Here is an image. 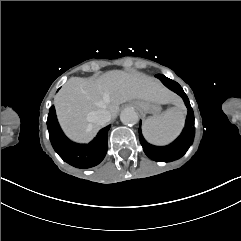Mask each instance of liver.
Masks as SVG:
<instances>
[{"label": "liver", "instance_id": "liver-1", "mask_svg": "<svg viewBox=\"0 0 241 241\" xmlns=\"http://www.w3.org/2000/svg\"><path fill=\"white\" fill-rule=\"evenodd\" d=\"M144 100L156 105L173 104L177 97L161 86L158 80L121 71H110L95 80L70 78L56 94L54 105L65 132L78 141H88L100 128L87 121V114L107 110L115 118L119 105L131 100Z\"/></svg>", "mask_w": 241, "mask_h": 241}]
</instances>
